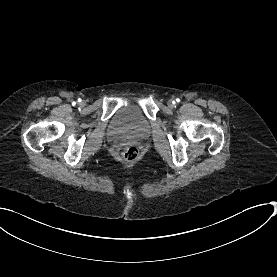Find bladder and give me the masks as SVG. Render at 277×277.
<instances>
[{"label":"bladder","instance_id":"bladder-1","mask_svg":"<svg viewBox=\"0 0 277 277\" xmlns=\"http://www.w3.org/2000/svg\"><path fill=\"white\" fill-rule=\"evenodd\" d=\"M108 127L116 141L144 140L152 130V124L138 102L118 104L108 120Z\"/></svg>","mask_w":277,"mask_h":277}]
</instances>
